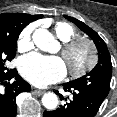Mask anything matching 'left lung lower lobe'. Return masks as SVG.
<instances>
[{
	"mask_svg": "<svg viewBox=\"0 0 117 117\" xmlns=\"http://www.w3.org/2000/svg\"><path fill=\"white\" fill-rule=\"evenodd\" d=\"M64 90L73 94V98L54 111H45L44 117H94L104 101L98 94L79 86L64 83ZM59 94L58 91H55ZM60 99L64 97L59 94ZM67 101V99H65Z\"/></svg>",
	"mask_w": 117,
	"mask_h": 117,
	"instance_id": "left-lung-lower-lobe-1",
	"label": "left lung lower lobe"
}]
</instances>
